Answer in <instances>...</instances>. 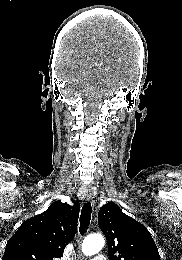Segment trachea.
Listing matches in <instances>:
<instances>
[{"instance_id": "obj_1", "label": "trachea", "mask_w": 182, "mask_h": 260, "mask_svg": "<svg viewBox=\"0 0 182 260\" xmlns=\"http://www.w3.org/2000/svg\"><path fill=\"white\" fill-rule=\"evenodd\" d=\"M91 212H92V207L91 203L87 202L84 203L82 210H81V215H80V227H79V232L81 235L84 234L86 229L88 228L91 220Z\"/></svg>"}]
</instances>
